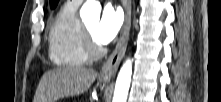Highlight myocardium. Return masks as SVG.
<instances>
[{
	"mask_svg": "<svg viewBox=\"0 0 221 102\" xmlns=\"http://www.w3.org/2000/svg\"><path fill=\"white\" fill-rule=\"evenodd\" d=\"M82 30L84 48L88 57L98 58L103 53L102 47L95 41L94 37L92 36L86 25H83Z\"/></svg>",
	"mask_w": 221,
	"mask_h": 102,
	"instance_id": "f54148a6",
	"label": "myocardium"
}]
</instances>
